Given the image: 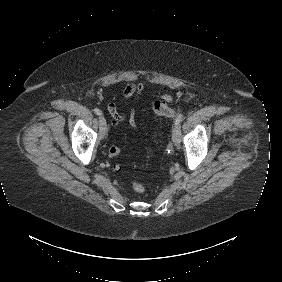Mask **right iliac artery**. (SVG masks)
<instances>
[{
	"mask_svg": "<svg viewBox=\"0 0 282 282\" xmlns=\"http://www.w3.org/2000/svg\"><path fill=\"white\" fill-rule=\"evenodd\" d=\"M94 112H95L97 115H101V114H102V112H101L98 108H95V109H94Z\"/></svg>",
	"mask_w": 282,
	"mask_h": 282,
	"instance_id": "1",
	"label": "right iliac artery"
}]
</instances>
